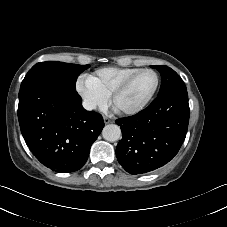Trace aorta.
<instances>
[{"mask_svg": "<svg viewBox=\"0 0 227 227\" xmlns=\"http://www.w3.org/2000/svg\"><path fill=\"white\" fill-rule=\"evenodd\" d=\"M102 136L109 142H115L121 137V129L118 125L109 124L103 128Z\"/></svg>", "mask_w": 227, "mask_h": 227, "instance_id": "obj_1", "label": "aorta"}]
</instances>
